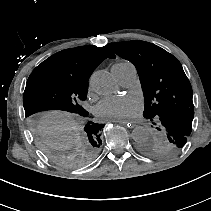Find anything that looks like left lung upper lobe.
Instances as JSON below:
<instances>
[{
  "instance_id": "obj_1",
  "label": "left lung upper lobe",
  "mask_w": 211,
  "mask_h": 211,
  "mask_svg": "<svg viewBox=\"0 0 211 211\" xmlns=\"http://www.w3.org/2000/svg\"><path fill=\"white\" fill-rule=\"evenodd\" d=\"M107 47L132 62L140 77L145 99L143 116L156 132L139 144V150L152 158L176 154L191 134L194 117L192 87L182 65L172 54L145 41L118 42Z\"/></svg>"
}]
</instances>
